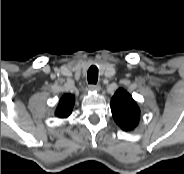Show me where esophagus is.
<instances>
[{
	"instance_id": "34e87169",
	"label": "esophagus",
	"mask_w": 184,
	"mask_h": 174,
	"mask_svg": "<svg viewBox=\"0 0 184 174\" xmlns=\"http://www.w3.org/2000/svg\"><path fill=\"white\" fill-rule=\"evenodd\" d=\"M88 88L90 91H99L101 89L100 85L98 84H90Z\"/></svg>"
}]
</instances>
